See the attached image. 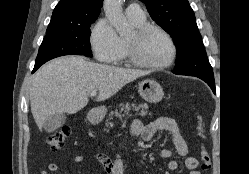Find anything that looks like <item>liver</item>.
I'll return each instance as SVG.
<instances>
[{
	"label": "liver",
	"instance_id": "obj_1",
	"mask_svg": "<svg viewBox=\"0 0 249 174\" xmlns=\"http://www.w3.org/2000/svg\"><path fill=\"white\" fill-rule=\"evenodd\" d=\"M147 71L95 63L80 56H66L43 65L32 77L29 89L33 118L41 129L46 118L74 114L88 103L91 91L104 101Z\"/></svg>",
	"mask_w": 249,
	"mask_h": 174
}]
</instances>
